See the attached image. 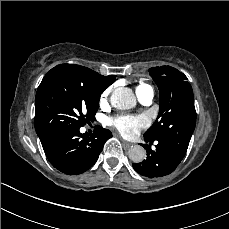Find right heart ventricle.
<instances>
[{
  "label": "right heart ventricle",
  "mask_w": 229,
  "mask_h": 229,
  "mask_svg": "<svg viewBox=\"0 0 229 229\" xmlns=\"http://www.w3.org/2000/svg\"><path fill=\"white\" fill-rule=\"evenodd\" d=\"M148 88H151V86L146 84V83H144V82H140L136 87V92L137 91H143V90H146Z\"/></svg>",
  "instance_id": "obj_1"
}]
</instances>
